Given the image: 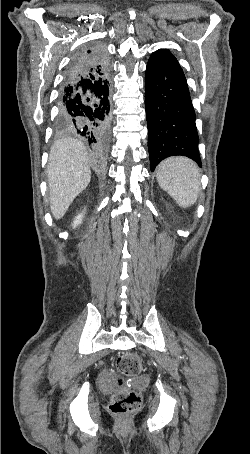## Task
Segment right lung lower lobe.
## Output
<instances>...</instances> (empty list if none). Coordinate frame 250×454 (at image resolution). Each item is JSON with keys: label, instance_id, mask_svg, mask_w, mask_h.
I'll return each instance as SVG.
<instances>
[{"label": "right lung lower lobe", "instance_id": "right-lung-lower-lobe-1", "mask_svg": "<svg viewBox=\"0 0 250 454\" xmlns=\"http://www.w3.org/2000/svg\"><path fill=\"white\" fill-rule=\"evenodd\" d=\"M109 72L104 47L87 46L71 61L59 94V125L78 133L97 149L105 148L109 138Z\"/></svg>", "mask_w": 250, "mask_h": 454}]
</instances>
